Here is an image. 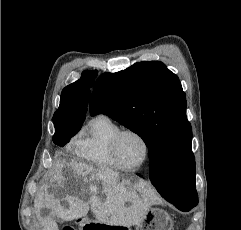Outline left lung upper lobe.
Wrapping results in <instances>:
<instances>
[{"label":"left lung upper lobe","instance_id":"obj_1","mask_svg":"<svg viewBox=\"0 0 241 230\" xmlns=\"http://www.w3.org/2000/svg\"><path fill=\"white\" fill-rule=\"evenodd\" d=\"M186 96L178 77L159 61H143L96 81L90 113L106 114L138 134L149 158L166 163L167 198L191 202L195 189L192 129L187 119Z\"/></svg>","mask_w":241,"mask_h":230}]
</instances>
